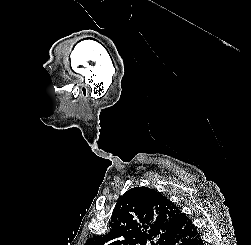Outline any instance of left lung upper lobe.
<instances>
[{
  "label": "left lung upper lobe",
  "mask_w": 251,
  "mask_h": 245,
  "mask_svg": "<svg viewBox=\"0 0 251 245\" xmlns=\"http://www.w3.org/2000/svg\"><path fill=\"white\" fill-rule=\"evenodd\" d=\"M182 211L161 193L134 187L117 202L110 231L85 245H165L169 236L185 225Z\"/></svg>",
  "instance_id": "left-lung-upper-lobe-1"
}]
</instances>
